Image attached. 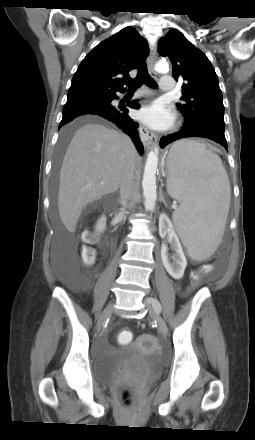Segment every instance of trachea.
<instances>
[{
  "label": "trachea",
  "mask_w": 255,
  "mask_h": 440,
  "mask_svg": "<svg viewBox=\"0 0 255 440\" xmlns=\"http://www.w3.org/2000/svg\"><path fill=\"white\" fill-rule=\"evenodd\" d=\"M143 83H145L148 87L155 88L157 86L156 82L151 78L148 74L146 64L143 63L139 68V73L134 80L128 81V90L133 91L138 89Z\"/></svg>",
  "instance_id": "trachea-1"
}]
</instances>
